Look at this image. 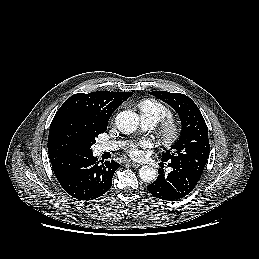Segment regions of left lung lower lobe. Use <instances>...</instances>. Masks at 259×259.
<instances>
[{
	"label": "left lung lower lobe",
	"mask_w": 259,
	"mask_h": 259,
	"mask_svg": "<svg viewBox=\"0 0 259 259\" xmlns=\"http://www.w3.org/2000/svg\"><path fill=\"white\" fill-rule=\"evenodd\" d=\"M172 171L165 174L163 168L158 169L156 181L147 186L148 191L156 198L175 201L188 195L199 181L200 176L189 167L169 162Z\"/></svg>",
	"instance_id": "left-lung-lower-lobe-1"
}]
</instances>
